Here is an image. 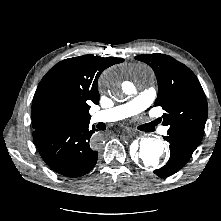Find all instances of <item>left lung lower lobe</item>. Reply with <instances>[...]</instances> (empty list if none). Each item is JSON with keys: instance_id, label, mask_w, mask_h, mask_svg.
Masks as SVG:
<instances>
[{"instance_id": "left-lung-lower-lobe-1", "label": "left lung lower lobe", "mask_w": 221, "mask_h": 221, "mask_svg": "<svg viewBox=\"0 0 221 221\" xmlns=\"http://www.w3.org/2000/svg\"><path fill=\"white\" fill-rule=\"evenodd\" d=\"M164 139L170 144L171 154L166 165L154 171L161 178L171 176L180 170L189 161L194 150L200 143V141L190 136L178 133L168 132V135Z\"/></svg>"}]
</instances>
